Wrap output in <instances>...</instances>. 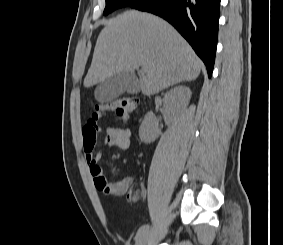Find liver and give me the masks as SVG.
<instances>
[{
	"mask_svg": "<svg viewBox=\"0 0 283 245\" xmlns=\"http://www.w3.org/2000/svg\"><path fill=\"white\" fill-rule=\"evenodd\" d=\"M201 67L191 46L169 23L130 10L106 21L83 84L88 88L117 73L137 70L140 90L153 95L174 84L195 80Z\"/></svg>",
	"mask_w": 283,
	"mask_h": 245,
	"instance_id": "6515ba94",
	"label": "liver"
}]
</instances>
